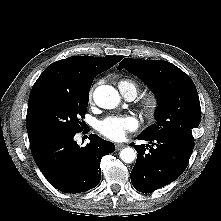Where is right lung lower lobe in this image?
I'll return each mask as SVG.
<instances>
[{
	"instance_id": "98d812e1",
	"label": "right lung lower lobe",
	"mask_w": 221,
	"mask_h": 221,
	"mask_svg": "<svg viewBox=\"0 0 221 221\" xmlns=\"http://www.w3.org/2000/svg\"><path fill=\"white\" fill-rule=\"evenodd\" d=\"M74 136H56L31 144L40 171L55 188L66 193H81L97 186L101 178L99 162L115 150L112 142L93 134L82 148Z\"/></svg>"
}]
</instances>
